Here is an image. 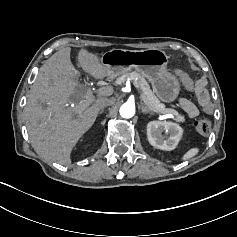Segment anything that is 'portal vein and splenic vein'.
<instances>
[{"label":"portal vein and splenic vein","mask_w":237,"mask_h":237,"mask_svg":"<svg viewBox=\"0 0 237 237\" xmlns=\"http://www.w3.org/2000/svg\"><path fill=\"white\" fill-rule=\"evenodd\" d=\"M133 87L137 90L139 88V86L133 81ZM139 92H140V89H139ZM143 100H145V103L148 105V108H150L151 110H154L158 113H161V112H169V113H172L178 120H182V117H180L177 113V111L175 110H172V109H159L158 107H156L153 103L149 102L148 100H146V96L140 92L139 94Z\"/></svg>","instance_id":"obj_1"}]
</instances>
